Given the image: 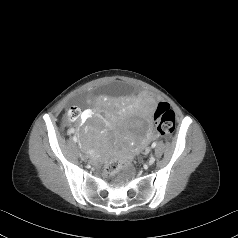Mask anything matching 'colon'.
<instances>
[{
	"label": "colon",
	"mask_w": 238,
	"mask_h": 238,
	"mask_svg": "<svg viewBox=\"0 0 238 238\" xmlns=\"http://www.w3.org/2000/svg\"><path fill=\"white\" fill-rule=\"evenodd\" d=\"M80 115L81 111L76 107L69 111L70 120H76ZM154 120L157 131L161 136H167L175 129V113L167 103H159L157 105L154 112ZM128 165H130V161L127 159H113L106 164L104 176L111 178L114 172Z\"/></svg>",
	"instance_id": "1"
}]
</instances>
